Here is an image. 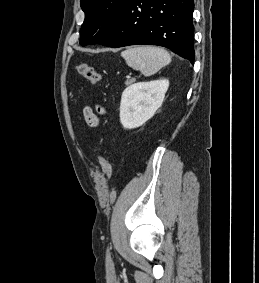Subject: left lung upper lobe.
I'll use <instances>...</instances> for the list:
<instances>
[{
    "label": "left lung upper lobe",
    "instance_id": "left-lung-upper-lobe-1",
    "mask_svg": "<svg viewBox=\"0 0 259 283\" xmlns=\"http://www.w3.org/2000/svg\"><path fill=\"white\" fill-rule=\"evenodd\" d=\"M129 0H81L85 20L80 30V44H97L105 39L118 23Z\"/></svg>",
    "mask_w": 259,
    "mask_h": 283
}]
</instances>
